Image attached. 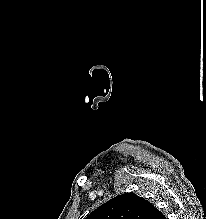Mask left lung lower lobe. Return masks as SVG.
<instances>
[{
  "instance_id": "left-lung-lower-lobe-1",
  "label": "left lung lower lobe",
  "mask_w": 206,
  "mask_h": 219,
  "mask_svg": "<svg viewBox=\"0 0 206 219\" xmlns=\"http://www.w3.org/2000/svg\"><path fill=\"white\" fill-rule=\"evenodd\" d=\"M151 219H166V217L157 208H154Z\"/></svg>"
}]
</instances>
